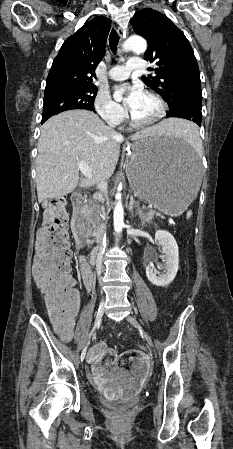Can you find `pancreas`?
Returning <instances> with one entry per match:
<instances>
[{
    "instance_id": "1",
    "label": "pancreas",
    "mask_w": 233,
    "mask_h": 449,
    "mask_svg": "<svg viewBox=\"0 0 233 449\" xmlns=\"http://www.w3.org/2000/svg\"><path fill=\"white\" fill-rule=\"evenodd\" d=\"M86 209L89 216L90 223L96 228L101 223V218L103 216L102 210L103 207H101L96 199L91 200L88 205H86ZM155 213L149 211L146 213H139V216L142 220V222H149L154 218Z\"/></svg>"
}]
</instances>
